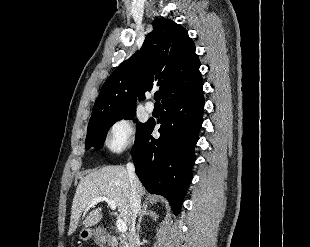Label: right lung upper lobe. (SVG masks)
I'll return each instance as SVG.
<instances>
[{
  "mask_svg": "<svg viewBox=\"0 0 310 247\" xmlns=\"http://www.w3.org/2000/svg\"><path fill=\"white\" fill-rule=\"evenodd\" d=\"M195 45L185 28L170 19L154 21L140 51L120 64L103 84L89 123L135 110L136 96L159 86L162 101L202 81Z\"/></svg>",
  "mask_w": 310,
  "mask_h": 247,
  "instance_id": "1",
  "label": "right lung upper lobe"
}]
</instances>
